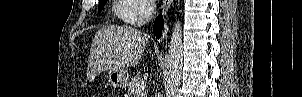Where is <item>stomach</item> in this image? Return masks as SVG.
<instances>
[{"label":"stomach","mask_w":302,"mask_h":97,"mask_svg":"<svg viewBox=\"0 0 302 97\" xmlns=\"http://www.w3.org/2000/svg\"><path fill=\"white\" fill-rule=\"evenodd\" d=\"M129 80L128 72L121 68H113L108 72V81L114 87L124 88Z\"/></svg>","instance_id":"1"}]
</instances>
